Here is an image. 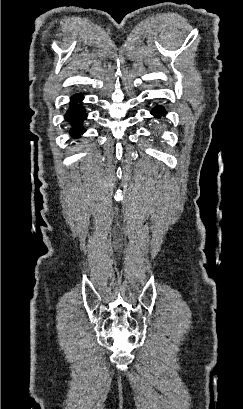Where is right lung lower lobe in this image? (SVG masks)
<instances>
[{
	"label": "right lung lower lobe",
	"mask_w": 243,
	"mask_h": 409,
	"mask_svg": "<svg viewBox=\"0 0 243 409\" xmlns=\"http://www.w3.org/2000/svg\"><path fill=\"white\" fill-rule=\"evenodd\" d=\"M83 99V96L80 94H76L71 99V107L67 111L65 118L66 120L72 125V129L70 133L72 136H78L82 134L85 129L81 127V123L84 119H86L87 114L85 113V109L81 104H78Z\"/></svg>",
	"instance_id": "right-lung-lower-lobe-1"
}]
</instances>
